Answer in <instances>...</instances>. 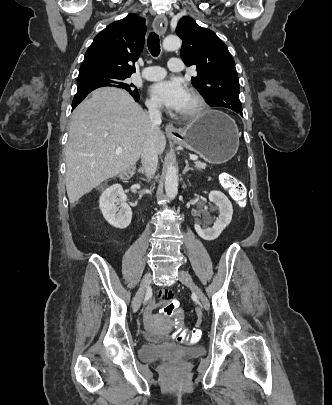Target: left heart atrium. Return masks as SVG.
I'll return each mask as SVG.
<instances>
[{
    "label": "left heart atrium",
    "instance_id": "39dd6f15",
    "mask_svg": "<svg viewBox=\"0 0 332 405\" xmlns=\"http://www.w3.org/2000/svg\"><path fill=\"white\" fill-rule=\"evenodd\" d=\"M150 93L160 104L177 112L182 111L189 95L185 85L179 79L156 82L151 85Z\"/></svg>",
    "mask_w": 332,
    "mask_h": 405
}]
</instances>
